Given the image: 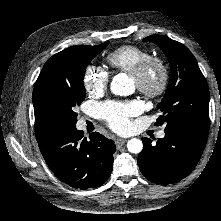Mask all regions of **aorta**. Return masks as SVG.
<instances>
[{"label":"aorta","mask_w":221,"mask_h":221,"mask_svg":"<svg viewBox=\"0 0 221 221\" xmlns=\"http://www.w3.org/2000/svg\"><path fill=\"white\" fill-rule=\"evenodd\" d=\"M111 92L118 96H127L134 92V85L124 73L116 75L110 86ZM127 149L131 153H140L143 143L140 139L132 138L127 142Z\"/></svg>","instance_id":"762f6f07"}]
</instances>
